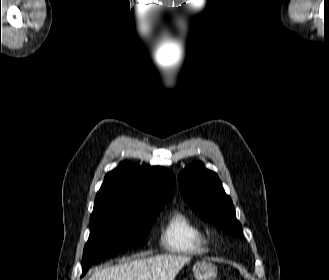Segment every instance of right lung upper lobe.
<instances>
[{
    "label": "right lung upper lobe",
    "instance_id": "cb5924a9",
    "mask_svg": "<svg viewBox=\"0 0 329 280\" xmlns=\"http://www.w3.org/2000/svg\"><path fill=\"white\" fill-rule=\"evenodd\" d=\"M174 185V174L163 167H145L124 161L106 174L95 205L119 201L146 206L153 201L169 200Z\"/></svg>",
    "mask_w": 329,
    "mask_h": 280
}]
</instances>
